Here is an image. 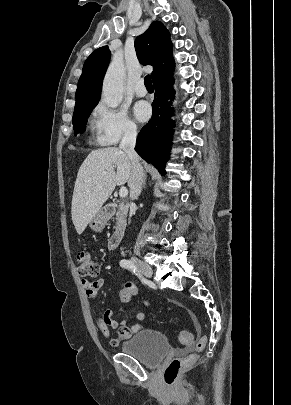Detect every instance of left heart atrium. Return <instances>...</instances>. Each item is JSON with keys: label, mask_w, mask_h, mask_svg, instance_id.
<instances>
[{"label": "left heart atrium", "mask_w": 291, "mask_h": 405, "mask_svg": "<svg viewBox=\"0 0 291 405\" xmlns=\"http://www.w3.org/2000/svg\"><path fill=\"white\" fill-rule=\"evenodd\" d=\"M134 114L140 121H145L151 114V108L147 102L140 101L134 107Z\"/></svg>", "instance_id": "39dd6f15"}]
</instances>
